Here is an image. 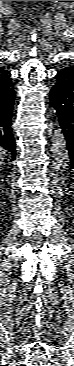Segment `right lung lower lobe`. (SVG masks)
Returning a JSON list of instances; mask_svg holds the SVG:
<instances>
[{"instance_id":"right-lung-lower-lobe-1","label":"right lung lower lobe","mask_w":74,"mask_h":366,"mask_svg":"<svg viewBox=\"0 0 74 366\" xmlns=\"http://www.w3.org/2000/svg\"><path fill=\"white\" fill-rule=\"evenodd\" d=\"M15 91L10 73L0 80V148L8 150L16 157V143L12 134L11 122L14 109Z\"/></svg>"}]
</instances>
